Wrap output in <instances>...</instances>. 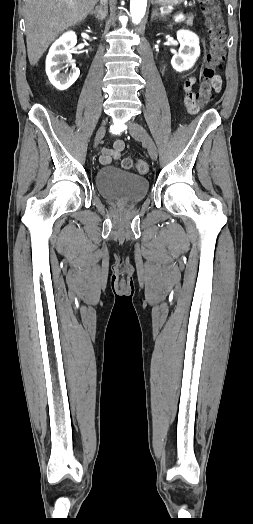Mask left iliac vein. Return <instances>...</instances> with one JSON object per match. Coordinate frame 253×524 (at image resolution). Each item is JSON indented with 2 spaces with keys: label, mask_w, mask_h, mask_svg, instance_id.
<instances>
[{
  "label": "left iliac vein",
  "mask_w": 253,
  "mask_h": 524,
  "mask_svg": "<svg viewBox=\"0 0 253 524\" xmlns=\"http://www.w3.org/2000/svg\"><path fill=\"white\" fill-rule=\"evenodd\" d=\"M129 132L132 135V137L142 141V143L147 148V151H148L150 157L153 160H156L157 159V155H158L157 147H156L153 139L151 138V136L145 130V128L143 126H141L140 124L131 121L129 123Z\"/></svg>",
  "instance_id": "1"
}]
</instances>
